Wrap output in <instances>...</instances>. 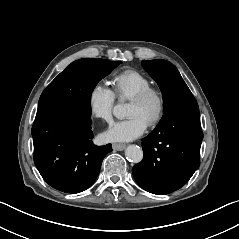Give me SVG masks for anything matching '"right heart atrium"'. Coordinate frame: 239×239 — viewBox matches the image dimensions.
Masks as SVG:
<instances>
[{"label": "right heart atrium", "instance_id": "obj_1", "mask_svg": "<svg viewBox=\"0 0 239 239\" xmlns=\"http://www.w3.org/2000/svg\"><path fill=\"white\" fill-rule=\"evenodd\" d=\"M115 101V91L100 82L93 84L87 94L88 108L95 118L110 120Z\"/></svg>", "mask_w": 239, "mask_h": 239}]
</instances>
